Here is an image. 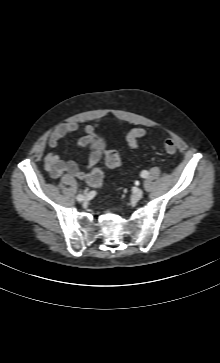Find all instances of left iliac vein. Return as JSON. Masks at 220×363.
Returning <instances> with one entry per match:
<instances>
[{"label":"left iliac vein","mask_w":220,"mask_h":363,"mask_svg":"<svg viewBox=\"0 0 220 363\" xmlns=\"http://www.w3.org/2000/svg\"><path fill=\"white\" fill-rule=\"evenodd\" d=\"M143 196V190L142 189H136L132 195V201L137 202L139 201Z\"/></svg>","instance_id":"left-iliac-vein-1"}]
</instances>
